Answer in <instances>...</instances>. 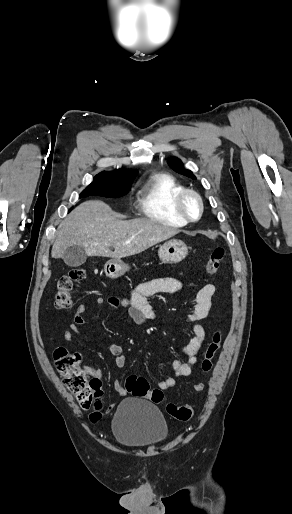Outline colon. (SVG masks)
Segmentation results:
<instances>
[{
  "label": "colon",
  "instance_id": "5ec220e1",
  "mask_svg": "<svg viewBox=\"0 0 292 514\" xmlns=\"http://www.w3.org/2000/svg\"><path fill=\"white\" fill-rule=\"evenodd\" d=\"M225 256V249L216 247L209 255L204 269L207 274H214L220 268ZM85 278L82 270L75 269L58 279L56 284L55 304L59 310H67L73 301V289L76 283ZM222 342L220 330L214 332L206 344L201 369L209 373L213 367V359L218 353ZM54 362L57 373L64 379L67 389L74 395L79 405L85 409L91 407L90 420H97L101 414V381L97 377H89L82 366V357L77 352L57 347L54 350ZM125 389L137 399L150 400L153 403H164V393L161 389L152 388L144 376L129 375L124 382ZM196 391H203L204 384L196 383ZM166 412L174 419L185 421L193 415V406L190 404L178 405L172 402L165 403Z\"/></svg>",
  "mask_w": 292,
  "mask_h": 514
}]
</instances>
